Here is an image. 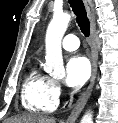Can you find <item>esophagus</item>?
Returning a JSON list of instances; mask_svg holds the SVG:
<instances>
[{
  "instance_id": "34e87169",
  "label": "esophagus",
  "mask_w": 118,
  "mask_h": 123,
  "mask_svg": "<svg viewBox=\"0 0 118 123\" xmlns=\"http://www.w3.org/2000/svg\"><path fill=\"white\" fill-rule=\"evenodd\" d=\"M87 15L90 21V40H91V61H92V75L90 79V83L87 89L82 93L79 97L75 107L73 108L72 112L70 113L67 122L73 123L76 121L78 116L80 115L81 111L83 110L84 106L86 105L97 75V60H98V53L95 45V30H96V22H95V11H94V4L91 0H83Z\"/></svg>"
}]
</instances>
